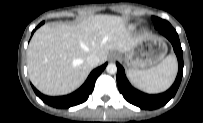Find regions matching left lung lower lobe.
I'll list each match as a JSON object with an SVG mask.
<instances>
[{
	"instance_id": "0a47b994",
	"label": "left lung lower lobe",
	"mask_w": 203,
	"mask_h": 123,
	"mask_svg": "<svg viewBox=\"0 0 203 123\" xmlns=\"http://www.w3.org/2000/svg\"><path fill=\"white\" fill-rule=\"evenodd\" d=\"M173 45V49L178 59V74L173 85L164 93L149 95L131 86L127 80L124 68L117 62V84L120 93L131 104L141 109L153 110L164 106L176 94L183 76V52L176 30L168 23L157 28Z\"/></svg>"
}]
</instances>
